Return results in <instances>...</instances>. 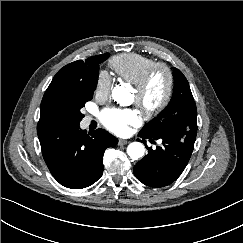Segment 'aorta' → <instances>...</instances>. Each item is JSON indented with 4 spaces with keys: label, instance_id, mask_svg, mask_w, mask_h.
<instances>
[{
    "label": "aorta",
    "instance_id": "1",
    "mask_svg": "<svg viewBox=\"0 0 243 243\" xmlns=\"http://www.w3.org/2000/svg\"><path fill=\"white\" fill-rule=\"evenodd\" d=\"M130 93L124 87L116 86L112 91V98L119 103H126L129 100ZM145 148L140 142H132L127 147V154L133 160H137L144 156Z\"/></svg>",
    "mask_w": 243,
    "mask_h": 243
}]
</instances>
